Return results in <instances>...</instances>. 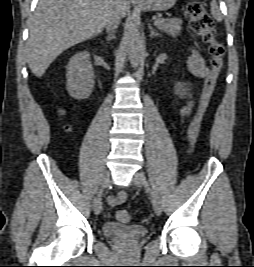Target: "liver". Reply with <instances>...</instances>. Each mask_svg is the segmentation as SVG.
Masks as SVG:
<instances>
[{"instance_id": "1", "label": "liver", "mask_w": 254, "mask_h": 267, "mask_svg": "<svg viewBox=\"0 0 254 267\" xmlns=\"http://www.w3.org/2000/svg\"><path fill=\"white\" fill-rule=\"evenodd\" d=\"M114 9L125 17L127 0H39L29 18L26 52L31 72L42 77L65 50L100 34Z\"/></svg>"}]
</instances>
